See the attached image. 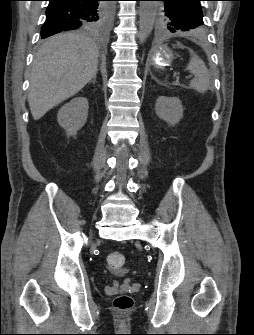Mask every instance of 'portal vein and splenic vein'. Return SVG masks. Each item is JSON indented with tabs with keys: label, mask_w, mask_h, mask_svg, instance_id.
Masks as SVG:
<instances>
[{
	"label": "portal vein and splenic vein",
	"mask_w": 254,
	"mask_h": 335,
	"mask_svg": "<svg viewBox=\"0 0 254 335\" xmlns=\"http://www.w3.org/2000/svg\"><path fill=\"white\" fill-rule=\"evenodd\" d=\"M191 77H192V75H188V76H187V78H191Z\"/></svg>",
	"instance_id": "portal-vein-and-splenic-vein-1"
}]
</instances>
